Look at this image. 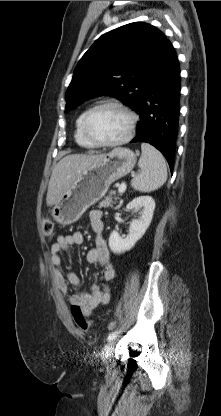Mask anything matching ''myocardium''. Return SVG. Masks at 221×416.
Returning a JSON list of instances; mask_svg holds the SVG:
<instances>
[{
	"instance_id": "f54148a6",
	"label": "myocardium",
	"mask_w": 221,
	"mask_h": 416,
	"mask_svg": "<svg viewBox=\"0 0 221 416\" xmlns=\"http://www.w3.org/2000/svg\"><path fill=\"white\" fill-rule=\"evenodd\" d=\"M107 106H113L116 108H119L120 110H122L129 119V125H128V129L127 132L125 133L124 136H122L121 138L117 139V140H113V141H101L96 139L90 132L89 130V122L92 118V116L101 108L103 107H107ZM136 124H137V115L124 103L115 100V99H108V100H104L101 101L99 103H97L96 105H94L93 107H91L87 113L85 114L84 118H83V122H82V129H83V133L86 136V138L91 141L95 146H101V147H115V146H119L122 144H125L126 142H128L134 135L135 129H136Z\"/></svg>"
}]
</instances>
